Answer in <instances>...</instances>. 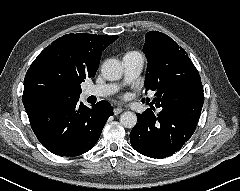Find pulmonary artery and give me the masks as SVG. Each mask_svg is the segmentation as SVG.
I'll return each mask as SVG.
<instances>
[{
    "label": "pulmonary artery",
    "instance_id": "obj_1",
    "mask_svg": "<svg viewBox=\"0 0 240 191\" xmlns=\"http://www.w3.org/2000/svg\"><path fill=\"white\" fill-rule=\"evenodd\" d=\"M124 67V81L126 83L135 80L142 71L144 57L139 52H128L122 58ZM119 89L116 83L97 84L87 88L88 96L105 97L114 94Z\"/></svg>",
    "mask_w": 240,
    "mask_h": 191
}]
</instances>
